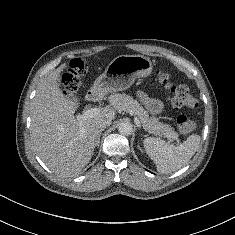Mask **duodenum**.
Returning a JSON list of instances; mask_svg holds the SVG:
<instances>
[{
	"label": "duodenum",
	"mask_w": 235,
	"mask_h": 235,
	"mask_svg": "<svg viewBox=\"0 0 235 235\" xmlns=\"http://www.w3.org/2000/svg\"><path fill=\"white\" fill-rule=\"evenodd\" d=\"M96 99V93L95 92H89L87 95L88 101H94Z\"/></svg>",
	"instance_id": "410a0bca"
}]
</instances>
